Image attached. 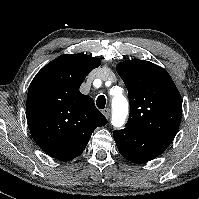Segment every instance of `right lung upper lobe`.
I'll return each instance as SVG.
<instances>
[{
  "mask_svg": "<svg viewBox=\"0 0 199 199\" xmlns=\"http://www.w3.org/2000/svg\"><path fill=\"white\" fill-rule=\"evenodd\" d=\"M101 61L78 54L61 55L34 77L27 94L26 117L37 145L60 161L78 157L97 127L107 119L79 88Z\"/></svg>",
  "mask_w": 199,
  "mask_h": 199,
  "instance_id": "right-lung-upper-lobe-1",
  "label": "right lung upper lobe"
}]
</instances>
